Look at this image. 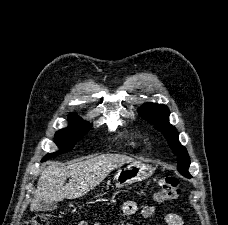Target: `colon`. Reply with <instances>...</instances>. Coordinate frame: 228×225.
Listing matches in <instances>:
<instances>
[{"label":"colon","mask_w":228,"mask_h":225,"mask_svg":"<svg viewBox=\"0 0 228 225\" xmlns=\"http://www.w3.org/2000/svg\"><path fill=\"white\" fill-rule=\"evenodd\" d=\"M156 194L161 202H168L177 199L180 195L179 181L174 177L161 179ZM25 225H50V221L46 215L37 214L28 220Z\"/></svg>","instance_id":"5ec220e1"}]
</instances>
